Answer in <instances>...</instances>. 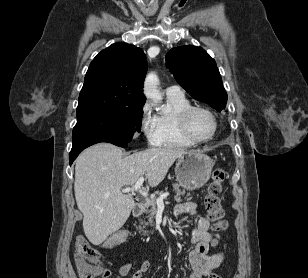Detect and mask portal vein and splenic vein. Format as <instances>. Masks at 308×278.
Wrapping results in <instances>:
<instances>
[{
	"label": "portal vein and splenic vein",
	"mask_w": 308,
	"mask_h": 278,
	"mask_svg": "<svg viewBox=\"0 0 308 278\" xmlns=\"http://www.w3.org/2000/svg\"><path fill=\"white\" fill-rule=\"evenodd\" d=\"M144 182V177L141 176L139 179L136 181V183L133 185V187H127L125 189H122L123 193H129L131 191H138L142 196L147 197L148 193L144 190L141 189V186ZM169 193L166 192L162 194L160 197L156 199V204L157 205H164V199L168 197Z\"/></svg>",
	"instance_id": "obj_1"
}]
</instances>
